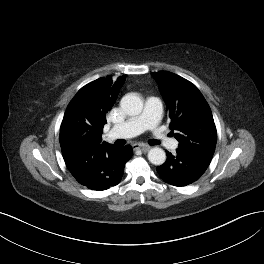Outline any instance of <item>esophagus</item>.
<instances>
[{
	"label": "esophagus",
	"instance_id": "obj_1",
	"mask_svg": "<svg viewBox=\"0 0 264 264\" xmlns=\"http://www.w3.org/2000/svg\"><path fill=\"white\" fill-rule=\"evenodd\" d=\"M149 148L150 147L148 145H145V144H139V143H137V144H134L133 145V149L134 150H141L143 152H147L149 150Z\"/></svg>",
	"mask_w": 264,
	"mask_h": 264
}]
</instances>
